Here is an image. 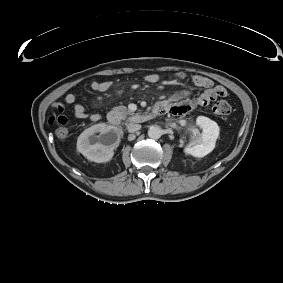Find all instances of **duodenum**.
Here are the masks:
<instances>
[{
  "label": "duodenum",
  "mask_w": 283,
  "mask_h": 283,
  "mask_svg": "<svg viewBox=\"0 0 283 283\" xmlns=\"http://www.w3.org/2000/svg\"><path fill=\"white\" fill-rule=\"evenodd\" d=\"M163 109H164V106L160 103L158 104L154 110L156 111L157 114L163 112ZM107 121L110 125L112 126H117L119 124V118L116 114H109L108 117H107Z\"/></svg>",
  "instance_id": "1"
}]
</instances>
